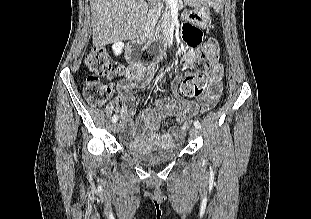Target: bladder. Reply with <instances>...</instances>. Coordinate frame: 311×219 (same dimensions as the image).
I'll return each mask as SVG.
<instances>
[{
	"label": "bladder",
	"instance_id": "obj_1",
	"mask_svg": "<svg viewBox=\"0 0 311 219\" xmlns=\"http://www.w3.org/2000/svg\"><path fill=\"white\" fill-rule=\"evenodd\" d=\"M124 146L130 154L149 162L171 160L178 156L182 150L179 144L154 147L143 141L127 142Z\"/></svg>",
	"mask_w": 311,
	"mask_h": 219
}]
</instances>
